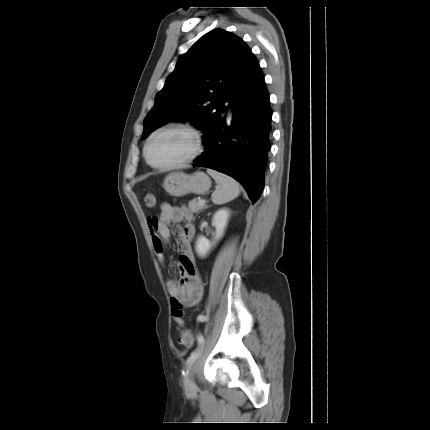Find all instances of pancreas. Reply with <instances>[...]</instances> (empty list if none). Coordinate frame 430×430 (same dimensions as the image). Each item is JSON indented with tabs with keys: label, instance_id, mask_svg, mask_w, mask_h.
Listing matches in <instances>:
<instances>
[{
	"label": "pancreas",
	"instance_id": "cf45deb5",
	"mask_svg": "<svg viewBox=\"0 0 430 430\" xmlns=\"http://www.w3.org/2000/svg\"><path fill=\"white\" fill-rule=\"evenodd\" d=\"M189 209L193 213H197L201 211L204 208V205H199L198 201L196 199H193L188 203Z\"/></svg>",
	"mask_w": 430,
	"mask_h": 430
}]
</instances>
